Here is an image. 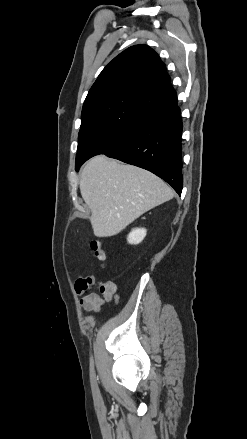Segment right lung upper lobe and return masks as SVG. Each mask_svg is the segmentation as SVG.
<instances>
[{
  "instance_id": "right-lung-upper-lobe-1",
  "label": "right lung upper lobe",
  "mask_w": 247,
  "mask_h": 439,
  "mask_svg": "<svg viewBox=\"0 0 247 439\" xmlns=\"http://www.w3.org/2000/svg\"><path fill=\"white\" fill-rule=\"evenodd\" d=\"M176 98L165 64L141 44L124 50L102 70L82 111L110 101H129L153 112Z\"/></svg>"
}]
</instances>
